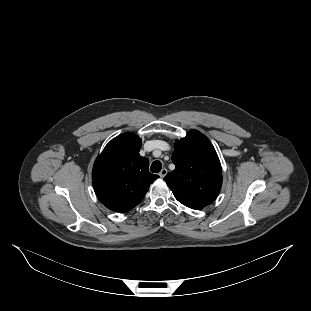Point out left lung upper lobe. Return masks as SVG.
Listing matches in <instances>:
<instances>
[{"label": "left lung upper lobe", "instance_id": "5c2ea615", "mask_svg": "<svg viewBox=\"0 0 311 311\" xmlns=\"http://www.w3.org/2000/svg\"><path fill=\"white\" fill-rule=\"evenodd\" d=\"M172 162L176 168L164 180L180 203L201 209L216 199L222 185V169L205 135L192 130L176 141Z\"/></svg>", "mask_w": 311, "mask_h": 311}]
</instances>
